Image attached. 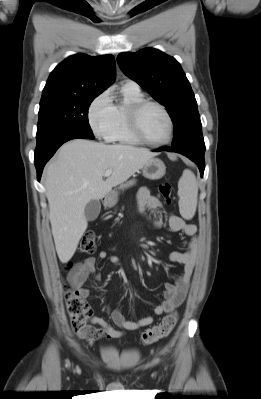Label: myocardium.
Listing matches in <instances>:
<instances>
[{"label":"myocardium","mask_w":261,"mask_h":399,"mask_svg":"<svg viewBox=\"0 0 261 399\" xmlns=\"http://www.w3.org/2000/svg\"><path fill=\"white\" fill-rule=\"evenodd\" d=\"M148 106H155V107L159 108L163 112V114L165 115V117L168 121L169 133H168L167 138L163 141L150 140L145 136V134L142 131L141 124H140V115H141L142 111ZM126 118H127V124H128L130 133L140 143L150 145V146H164V145L169 144L174 137L175 125H174L173 118H172L171 114L169 113V111L166 109V107L157 101L142 99L137 102L131 103L127 108Z\"/></svg>","instance_id":"obj_1"}]
</instances>
